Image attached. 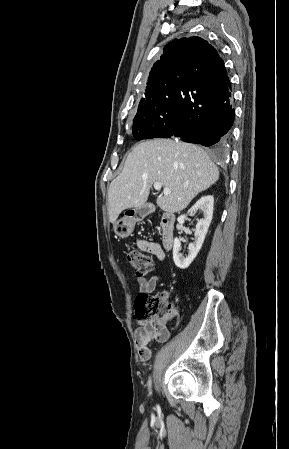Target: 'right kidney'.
Returning <instances> with one entry per match:
<instances>
[{
  "instance_id": "right-kidney-1",
  "label": "right kidney",
  "mask_w": 289,
  "mask_h": 449,
  "mask_svg": "<svg viewBox=\"0 0 289 449\" xmlns=\"http://www.w3.org/2000/svg\"><path fill=\"white\" fill-rule=\"evenodd\" d=\"M213 207H214V198L212 195H205L201 197L195 204L190 208L188 214H192L197 212V210H201L204 214V217L201 218L196 225L195 230V242L190 243L188 246V256H184L181 250V243L178 238L174 239L173 244V260L175 265L180 269H186L190 266L193 260L196 258L199 253L202 244L205 240L206 234L208 232V228L212 221L213 216ZM186 215H181L177 221L178 225L182 226Z\"/></svg>"
}]
</instances>
